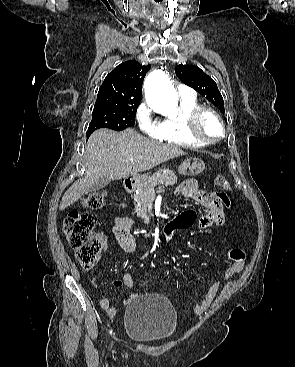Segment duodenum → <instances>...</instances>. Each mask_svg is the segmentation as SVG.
<instances>
[{
	"instance_id": "1",
	"label": "duodenum",
	"mask_w": 295,
	"mask_h": 367,
	"mask_svg": "<svg viewBox=\"0 0 295 367\" xmlns=\"http://www.w3.org/2000/svg\"><path fill=\"white\" fill-rule=\"evenodd\" d=\"M135 178L134 177H127L125 180H124V188L127 190V191H131L133 190V188L135 187ZM161 222V219L160 218H156V217H153V218H146L144 220V223L146 225H150V226H155V225H158L159 223Z\"/></svg>"
}]
</instances>
